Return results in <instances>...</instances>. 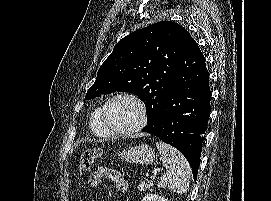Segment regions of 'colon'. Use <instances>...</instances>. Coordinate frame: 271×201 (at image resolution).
Segmentation results:
<instances>
[{
  "mask_svg": "<svg viewBox=\"0 0 271 201\" xmlns=\"http://www.w3.org/2000/svg\"><path fill=\"white\" fill-rule=\"evenodd\" d=\"M101 150L99 148H93L86 150L82 153L79 161V172L84 177L90 170L94 161L100 156Z\"/></svg>",
  "mask_w": 271,
  "mask_h": 201,
  "instance_id": "obj_1",
  "label": "colon"
}]
</instances>
